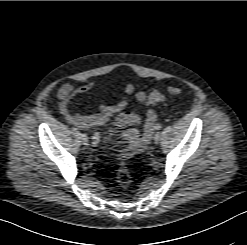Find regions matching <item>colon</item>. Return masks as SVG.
I'll list each match as a JSON object with an SVG mask.
<instances>
[{
	"label": "colon",
	"instance_id": "1",
	"mask_svg": "<svg viewBox=\"0 0 247 245\" xmlns=\"http://www.w3.org/2000/svg\"><path fill=\"white\" fill-rule=\"evenodd\" d=\"M182 89L176 86H170L168 88V93L170 95H179L181 94ZM163 95L159 92H152L149 95V102L151 104H157L163 100ZM116 181L122 187H128L131 183V174L128 166L125 163H122L116 173Z\"/></svg>",
	"mask_w": 247,
	"mask_h": 245
}]
</instances>
